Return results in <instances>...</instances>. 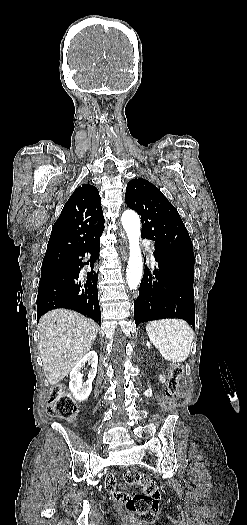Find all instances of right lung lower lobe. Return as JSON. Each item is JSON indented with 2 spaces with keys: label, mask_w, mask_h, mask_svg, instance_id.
<instances>
[{
  "label": "right lung lower lobe",
  "mask_w": 247,
  "mask_h": 525,
  "mask_svg": "<svg viewBox=\"0 0 247 525\" xmlns=\"http://www.w3.org/2000/svg\"><path fill=\"white\" fill-rule=\"evenodd\" d=\"M100 236L69 254L67 260L54 267L41 269L37 296V321L45 312L65 308L82 313L100 324L101 312L98 302V274L93 264L99 257ZM91 254V272L84 283L79 282L80 267L85 263L81 257ZM88 263V262H87Z\"/></svg>",
  "instance_id": "right-lung-lower-lobe-1"
}]
</instances>
